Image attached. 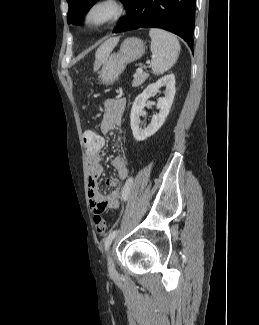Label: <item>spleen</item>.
Instances as JSON below:
<instances>
[{
	"label": "spleen",
	"instance_id": "spleen-1",
	"mask_svg": "<svg viewBox=\"0 0 259 325\" xmlns=\"http://www.w3.org/2000/svg\"><path fill=\"white\" fill-rule=\"evenodd\" d=\"M149 36L152 52L151 68L156 75H161L176 63L180 53V44L173 34L162 29H150Z\"/></svg>",
	"mask_w": 259,
	"mask_h": 325
}]
</instances>
